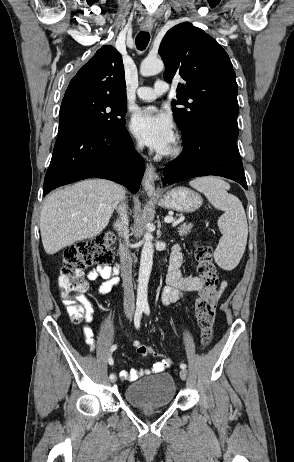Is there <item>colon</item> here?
<instances>
[{"mask_svg":"<svg viewBox=\"0 0 294 462\" xmlns=\"http://www.w3.org/2000/svg\"><path fill=\"white\" fill-rule=\"evenodd\" d=\"M113 240L112 233H103L71 246L65 251L58 285L67 312L74 322H80L84 314L81 294L85 292L88 286L85 270L93 265H108L112 262ZM195 260L197 273L203 282L199 297L196 300L195 313L201 342L206 346L213 338L219 278L213 262V252L209 246L197 245ZM148 353L159 356L151 347H149Z\"/></svg>","mask_w":294,"mask_h":462,"instance_id":"1","label":"colon"}]
</instances>
